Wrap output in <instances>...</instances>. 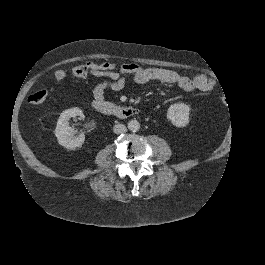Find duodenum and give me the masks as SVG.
<instances>
[{"mask_svg": "<svg viewBox=\"0 0 265 265\" xmlns=\"http://www.w3.org/2000/svg\"><path fill=\"white\" fill-rule=\"evenodd\" d=\"M93 108L101 114L126 119L139 114V109L131 106H118L104 100H94Z\"/></svg>", "mask_w": 265, "mask_h": 265, "instance_id": "obj_1", "label": "duodenum"}]
</instances>
